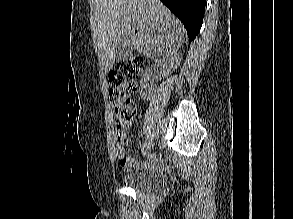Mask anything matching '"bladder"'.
Listing matches in <instances>:
<instances>
[{"instance_id": "31cf9c89", "label": "bladder", "mask_w": 293, "mask_h": 219, "mask_svg": "<svg viewBox=\"0 0 293 219\" xmlns=\"http://www.w3.org/2000/svg\"><path fill=\"white\" fill-rule=\"evenodd\" d=\"M124 185L138 191L154 192L161 190L165 184V177L150 169L131 171L123 175Z\"/></svg>"}]
</instances>
